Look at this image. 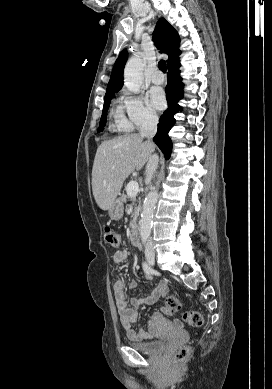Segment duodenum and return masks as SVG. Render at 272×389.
<instances>
[{
    "label": "duodenum",
    "mask_w": 272,
    "mask_h": 389,
    "mask_svg": "<svg viewBox=\"0 0 272 389\" xmlns=\"http://www.w3.org/2000/svg\"><path fill=\"white\" fill-rule=\"evenodd\" d=\"M129 237H130L131 243L134 246H137V247L140 246L141 241H140V237H139V230H138L137 223H135L134 226L131 228Z\"/></svg>",
    "instance_id": "410a0bca"
}]
</instances>
